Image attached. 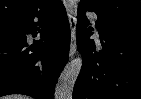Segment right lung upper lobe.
<instances>
[{
  "mask_svg": "<svg viewBox=\"0 0 141 99\" xmlns=\"http://www.w3.org/2000/svg\"><path fill=\"white\" fill-rule=\"evenodd\" d=\"M60 0H0V21L47 10Z\"/></svg>",
  "mask_w": 141,
  "mask_h": 99,
  "instance_id": "1",
  "label": "right lung upper lobe"
}]
</instances>
